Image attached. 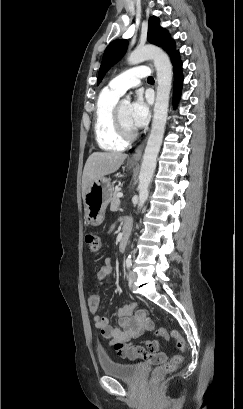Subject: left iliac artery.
Returning a JSON list of instances; mask_svg holds the SVG:
<instances>
[{"label": "left iliac artery", "instance_id": "44dca946", "mask_svg": "<svg viewBox=\"0 0 243 409\" xmlns=\"http://www.w3.org/2000/svg\"><path fill=\"white\" fill-rule=\"evenodd\" d=\"M125 263H126V267H127L128 269H130L131 266H132V260H131V258H130V257L127 258Z\"/></svg>", "mask_w": 243, "mask_h": 409}]
</instances>
